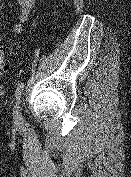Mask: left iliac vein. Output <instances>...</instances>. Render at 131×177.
Segmentation results:
<instances>
[{
	"mask_svg": "<svg viewBox=\"0 0 131 177\" xmlns=\"http://www.w3.org/2000/svg\"><path fill=\"white\" fill-rule=\"evenodd\" d=\"M14 118L16 120H20L21 119V106H20V102L16 104L15 109H14Z\"/></svg>",
	"mask_w": 131,
	"mask_h": 177,
	"instance_id": "left-iliac-vein-1",
	"label": "left iliac vein"
}]
</instances>
